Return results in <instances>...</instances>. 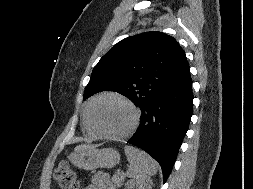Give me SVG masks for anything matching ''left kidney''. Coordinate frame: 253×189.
<instances>
[{
  "label": "left kidney",
  "mask_w": 253,
  "mask_h": 189,
  "mask_svg": "<svg viewBox=\"0 0 253 189\" xmlns=\"http://www.w3.org/2000/svg\"><path fill=\"white\" fill-rule=\"evenodd\" d=\"M126 189H152V180L150 179H134L125 184Z\"/></svg>",
  "instance_id": "obj_1"
}]
</instances>
